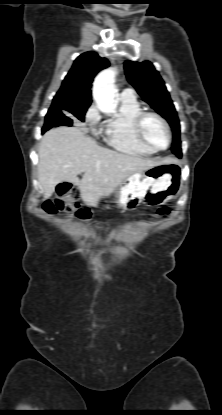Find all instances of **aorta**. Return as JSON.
Wrapping results in <instances>:
<instances>
[{"mask_svg":"<svg viewBox=\"0 0 222 415\" xmlns=\"http://www.w3.org/2000/svg\"><path fill=\"white\" fill-rule=\"evenodd\" d=\"M115 76V69H105L97 75L93 84V99L98 109L105 114L114 113L117 108Z\"/></svg>","mask_w":222,"mask_h":415,"instance_id":"762f6f07","label":"aorta"}]
</instances>
